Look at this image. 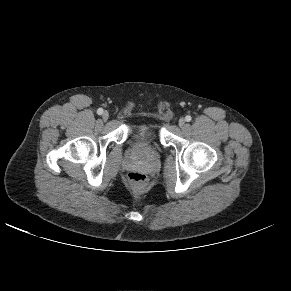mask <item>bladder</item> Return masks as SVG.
Here are the masks:
<instances>
[{
  "label": "bladder",
  "mask_w": 291,
  "mask_h": 291,
  "mask_svg": "<svg viewBox=\"0 0 291 291\" xmlns=\"http://www.w3.org/2000/svg\"><path fill=\"white\" fill-rule=\"evenodd\" d=\"M133 136L137 139H156L159 136V128L154 123H141L132 129Z\"/></svg>",
  "instance_id": "1"
}]
</instances>
